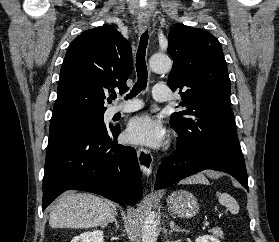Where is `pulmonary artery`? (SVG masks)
Here are the masks:
<instances>
[{"label": "pulmonary artery", "instance_id": "e3ab8cb5", "mask_svg": "<svg viewBox=\"0 0 279 242\" xmlns=\"http://www.w3.org/2000/svg\"><path fill=\"white\" fill-rule=\"evenodd\" d=\"M153 98L158 102H164L169 100V87L166 85H155L153 87ZM142 107L141 101L134 99L129 101L124 106L113 107L111 109L112 114L117 113H129L136 111Z\"/></svg>", "mask_w": 279, "mask_h": 242}]
</instances>
